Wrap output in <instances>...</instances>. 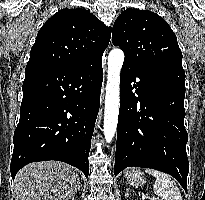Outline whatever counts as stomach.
<instances>
[{
	"mask_svg": "<svg viewBox=\"0 0 205 200\" xmlns=\"http://www.w3.org/2000/svg\"><path fill=\"white\" fill-rule=\"evenodd\" d=\"M125 178L132 186H139L146 183V177L143 172L138 169H133L125 173Z\"/></svg>",
	"mask_w": 205,
	"mask_h": 200,
	"instance_id": "stomach-1",
	"label": "stomach"
}]
</instances>
